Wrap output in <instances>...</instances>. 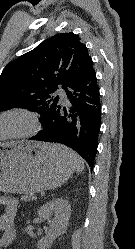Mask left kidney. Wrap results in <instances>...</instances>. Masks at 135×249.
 Returning a JSON list of instances; mask_svg holds the SVG:
<instances>
[{
  "label": "left kidney",
  "mask_w": 135,
  "mask_h": 249,
  "mask_svg": "<svg viewBox=\"0 0 135 249\" xmlns=\"http://www.w3.org/2000/svg\"><path fill=\"white\" fill-rule=\"evenodd\" d=\"M70 214L71 206L68 200L63 198L53 199L40 207L39 217L47 220L50 226L46 236L38 241V249H49L53 241L66 231Z\"/></svg>",
  "instance_id": "1"
}]
</instances>
